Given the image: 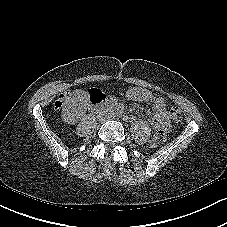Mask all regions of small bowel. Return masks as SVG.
I'll list each match as a JSON object with an SVG mask.
<instances>
[{
  "label": "small bowel",
  "instance_id": "small-bowel-1",
  "mask_svg": "<svg viewBox=\"0 0 227 227\" xmlns=\"http://www.w3.org/2000/svg\"><path fill=\"white\" fill-rule=\"evenodd\" d=\"M127 97L132 101L150 103L154 111V116L150 119V123L153 129L162 130V131L170 130L171 123H170L169 113L167 110V104L164 98L157 96L152 92L139 87H134L129 89L127 92Z\"/></svg>",
  "mask_w": 227,
  "mask_h": 227
}]
</instances>
